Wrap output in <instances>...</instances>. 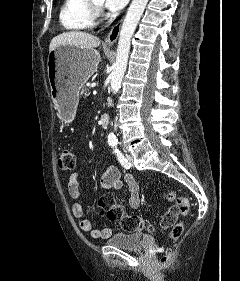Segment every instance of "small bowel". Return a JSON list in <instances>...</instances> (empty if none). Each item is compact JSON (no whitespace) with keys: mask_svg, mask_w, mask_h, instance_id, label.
Listing matches in <instances>:
<instances>
[{"mask_svg":"<svg viewBox=\"0 0 240 281\" xmlns=\"http://www.w3.org/2000/svg\"><path fill=\"white\" fill-rule=\"evenodd\" d=\"M79 172L73 173L68 181V192L71 198L79 199L81 195ZM126 185L129 191V206L137 208L140 205L139 186L134 176L130 173H123L118 167L111 165L103 173L100 181V188L103 195L112 190H120ZM72 214L79 220V227L83 232L89 233L95 239H105L111 236L113 229L106 227L103 229L95 228L92 222L84 219V208L81 202L72 205Z\"/></svg>","mask_w":240,"mask_h":281,"instance_id":"c3829d8e","label":"small bowel"}]
</instances>
